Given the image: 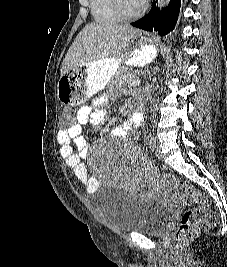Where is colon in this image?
I'll return each mask as SVG.
<instances>
[{
  "label": "colon",
  "mask_w": 227,
  "mask_h": 267,
  "mask_svg": "<svg viewBox=\"0 0 227 267\" xmlns=\"http://www.w3.org/2000/svg\"><path fill=\"white\" fill-rule=\"evenodd\" d=\"M74 110H62L61 125H72ZM66 129V126H63ZM161 183L176 195L183 204L191 205L180 217L175 233L176 248L191 241L201 232L215 225V215L207 200L185 180L170 174L163 175Z\"/></svg>",
  "instance_id": "1"
}]
</instances>
